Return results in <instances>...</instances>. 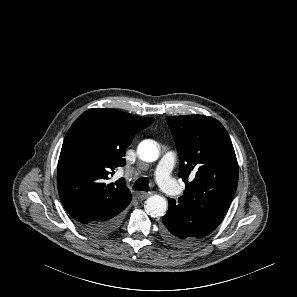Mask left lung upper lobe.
Returning <instances> with one entry per match:
<instances>
[{
	"label": "left lung upper lobe",
	"instance_id": "1",
	"mask_svg": "<svg viewBox=\"0 0 297 297\" xmlns=\"http://www.w3.org/2000/svg\"><path fill=\"white\" fill-rule=\"evenodd\" d=\"M166 120L181 160L179 176L186 183L178 203L185 206L189 235L199 240L217 228L233 200L238 184L235 151L226 129L212 117Z\"/></svg>",
	"mask_w": 297,
	"mask_h": 297
}]
</instances>
